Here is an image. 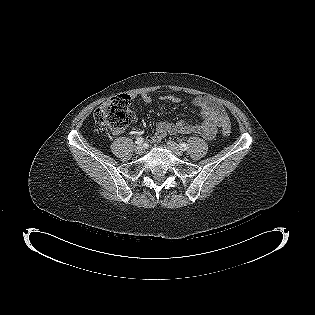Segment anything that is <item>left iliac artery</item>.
Wrapping results in <instances>:
<instances>
[{
    "label": "left iliac artery",
    "mask_w": 315,
    "mask_h": 315,
    "mask_svg": "<svg viewBox=\"0 0 315 315\" xmlns=\"http://www.w3.org/2000/svg\"><path fill=\"white\" fill-rule=\"evenodd\" d=\"M180 148H181L183 151H185V150L188 149V145H187L186 143H181V144H180Z\"/></svg>",
    "instance_id": "44dca946"
}]
</instances>
